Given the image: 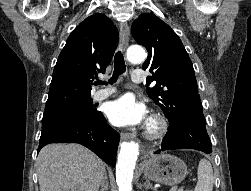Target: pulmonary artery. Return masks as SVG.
I'll list each match as a JSON object with an SVG mask.
<instances>
[{
    "label": "pulmonary artery",
    "instance_id": "obj_1",
    "mask_svg": "<svg viewBox=\"0 0 251 191\" xmlns=\"http://www.w3.org/2000/svg\"><path fill=\"white\" fill-rule=\"evenodd\" d=\"M132 81L135 83H140L144 80V73H142V68H134V73L131 76ZM115 87L114 86H107L104 87L100 90H97L94 94H93V99L96 101H100L103 99H106L107 97H109L111 94H113L115 92Z\"/></svg>",
    "mask_w": 251,
    "mask_h": 191
}]
</instances>
